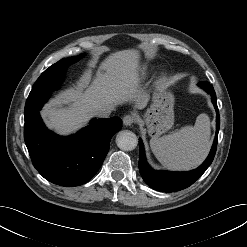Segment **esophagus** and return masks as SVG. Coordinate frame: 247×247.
Masks as SVG:
<instances>
[{
	"label": "esophagus",
	"mask_w": 247,
	"mask_h": 247,
	"mask_svg": "<svg viewBox=\"0 0 247 247\" xmlns=\"http://www.w3.org/2000/svg\"><path fill=\"white\" fill-rule=\"evenodd\" d=\"M136 121V116L134 114H128L123 118V123L125 126H131Z\"/></svg>",
	"instance_id": "esophagus-1"
}]
</instances>
